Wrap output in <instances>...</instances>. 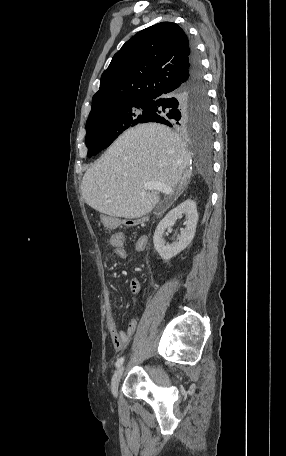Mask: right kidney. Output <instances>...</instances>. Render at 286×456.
<instances>
[{
  "instance_id": "1",
  "label": "right kidney",
  "mask_w": 286,
  "mask_h": 456,
  "mask_svg": "<svg viewBox=\"0 0 286 456\" xmlns=\"http://www.w3.org/2000/svg\"><path fill=\"white\" fill-rule=\"evenodd\" d=\"M182 215L186 217V228L181 231L179 241L169 245L163 238L164 232L167 228L172 227ZM197 222L196 202L191 199H187L168 212L158 224L153 236L154 247L162 259L170 260L188 247L194 238Z\"/></svg>"
}]
</instances>
